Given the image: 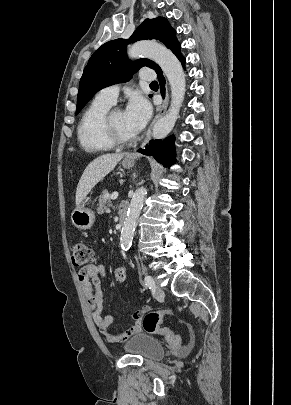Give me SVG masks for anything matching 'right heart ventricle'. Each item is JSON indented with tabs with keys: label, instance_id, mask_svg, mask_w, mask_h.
Returning <instances> with one entry per match:
<instances>
[{
	"label": "right heart ventricle",
	"instance_id": "right-heart-ventricle-1",
	"mask_svg": "<svg viewBox=\"0 0 291 405\" xmlns=\"http://www.w3.org/2000/svg\"><path fill=\"white\" fill-rule=\"evenodd\" d=\"M111 106L96 97L83 112L77 127V137L84 151L102 153L113 149L103 129L104 117Z\"/></svg>",
	"mask_w": 291,
	"mask_h": 405
}]
</instances>
